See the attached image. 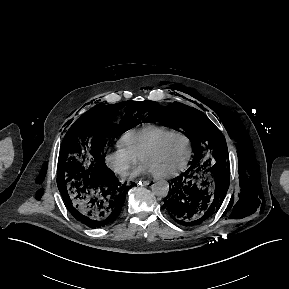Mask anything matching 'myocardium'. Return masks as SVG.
I'll use <instances>...</instances> for the list:
<instances>
[{
	"mask_svg": "<svg viewBox=\"0 0 289 289\" xmlns=\"http://www.w3.org/2000/svg\"><path fill=\"white\" fill-rule=\"evenodd\" d=\"M173 137H181L183 138L186 142H187V145H188V154H187V157L184 161V163L176 170L174 171H171V172H167V173H161V174H158V173H152L156 178H171V177H175V176H178L179 174H181L183 171L186 170L190 160H191V157H192V152H193V147H192V143H191V140L182 132H179V131H174L172 133H169L165 136H163L162 138H160L159 140H157L155 143H153L149 148H147L143 153L142 155L140 156V160L141 161H144V159L155 153L162 144H164L167 140L173 138Z\"/></svg>",
	"mask_w": 289,
	"mask_h": 289,
	"instance_id": "f54148a6",
	"label": "myocardium"
}]
</instances>
